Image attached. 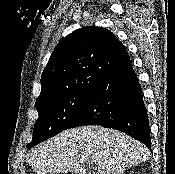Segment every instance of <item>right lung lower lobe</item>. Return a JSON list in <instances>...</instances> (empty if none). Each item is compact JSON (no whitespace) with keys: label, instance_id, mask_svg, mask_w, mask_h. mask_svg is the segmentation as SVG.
Masks as SVG:
<instances>
[{"label":"right lung lower lobe","instance_id":"obj_1","mask_svg":"<svg viewBox=\"0 0 175 174\" xmlns=\"http://www.w3.org/2000/svg\"><path fill=\"white\" fill-rule=\"evenodd\" d=\"M83 125L122 131L151 148L147 110L131 62L110 72L93 87L67 129Z\"/></svg>","mask_w":175,"mask_h":174}]
</instances>
